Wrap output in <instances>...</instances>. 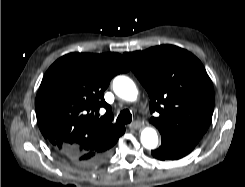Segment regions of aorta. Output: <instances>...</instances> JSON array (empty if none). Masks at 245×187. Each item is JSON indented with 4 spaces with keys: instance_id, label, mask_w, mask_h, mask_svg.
I'll return each mask as SVG.
<instances>
[{
    "instance_id": "aorta-1",
    "label": "aorta",
    "mask_w": 245,
    "mask_h": 187,
    "mask_svg": "<svg viewBox=\"0 0 245 187\" xmlns=\"http://www.w3.org/2000/svg\"><path fill=\"white\" fill-rule=\"evenodd\" d=\"M113 90L117 96L127 101H135L138 96L135 83L126 76H117L113 80ZM140 139L146 149H154L158 145V135L154 128L143 129Z\"/></svg>"
}]
</instances>
